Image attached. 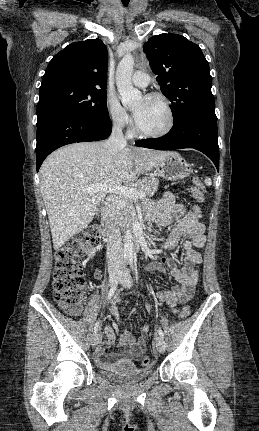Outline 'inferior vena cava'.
Wrapping results in <instances>:
<instances>
[{
  "label": "inferior vena cava",
  "mask_w": 259,
  "mask_h": 431,
  "mask_svg": "<svg viewBox=\"0 0 259 431\" xmlns=\"http://www.w3.org/2000/svg\"><path fill=\"white\" fill-rule=\"evenodd\" d=\"M127 141L122 132L120 123H114L112 133L104 146L108 148L112 157H115L119 150L125 148ZM107 212L110 218V226L107 242V259L108 264L121 266L123 261L122 239L119 227L120 207L114 197H109L107 202Z\"/></svg>",
  "instance_id": "obj_1"
}]
</instances>
